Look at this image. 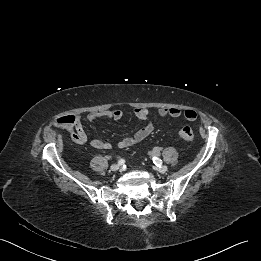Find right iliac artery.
Listing matches in <instances>:
<instances>
[{
	"mask_svg": "<svg viewBox=\"0 0 261 261\" xmlns=\"http://www.w3.org/2000/svg\"><path fill=\"white\" fill-rule=\"evenodd\" d=\"M124 163H125V160H124V159H119V160H118V164H119V165H123Z\"/></svg>",
	"mask_w": 261,
	"mask_h": 261,
	"instance_id": "obj_1",
	"label": "right iliac artery"
}]
</instances>
